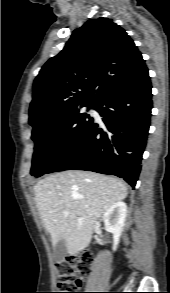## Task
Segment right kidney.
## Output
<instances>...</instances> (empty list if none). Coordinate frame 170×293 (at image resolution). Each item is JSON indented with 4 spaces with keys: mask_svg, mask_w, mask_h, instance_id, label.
I'll use <instances>...</instances> for the list:
<instances>
[{
    "mask_svg": "<svg viewBox=\"0 0 170 293\" xmlns=\"http://www.w3.org/2000/svg\"><path fill=\"white\" fill-rule=\"evenodd\" d=\"M126 216L127 205L122 201L113 204L102 216L105 230L113 234L114 251L117 249L119 244L120 236L125 225Z\"/></svg>",
    "mask_w": 170,
    "mask_h": 293,
    "instance_id": "1",
    "label": "right kidney"
}]
</instances>
